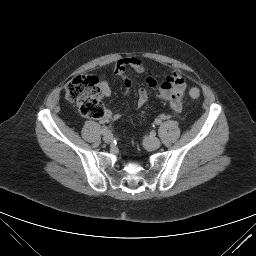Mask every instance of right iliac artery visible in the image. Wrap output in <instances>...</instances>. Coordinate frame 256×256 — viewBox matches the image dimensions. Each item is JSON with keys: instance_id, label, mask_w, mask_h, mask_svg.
<instances>
[{"instance_id": "obj_1", "label": "right iliac artery", "mask_w": 256, "mask_h": 256, "mask_svg": "<svg viewBox=\"0 0 256 256\" xmlns=\"http://www.w3.org/2000/svg\"><path fill=\"white\" fill-rule=\"evenodd\" d=\"M101 133H102L103 135L109 133V128H108V127H104V128L101 130Z\"/></svg>"}]
</instances>
